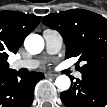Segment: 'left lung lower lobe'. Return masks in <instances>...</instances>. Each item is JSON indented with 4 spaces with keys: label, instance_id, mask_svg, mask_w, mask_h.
<instances>
[{
    "label": "left lung lower lobe",
    "instance_id": "0a47b994",
    "mask_svg": "<svg viewBox=\"0 0 107 107\" xmlns=\"http://www.w3.org/2000/svg\"><path fill=\"white\" fill-rule=\"evenodd\" d=\"M60 97L66 107H106L107 78L82 74Z\"/></svg>",
    "mask_w": 107,
    "mask_h": 107
}]
</instances>
